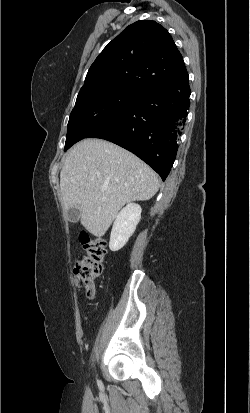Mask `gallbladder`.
<instances>
[{
	"label": "gallbladder",
	"mask_w": 250,
	"mask_h": 413,
	"mask_svg": "<svg viewBox=\"0 0 250 413\" xmlns=\"http://www.w3.org/2000/svg\"><path fill=\"white\" fill-rule=\"evenodd\" d=\"M66 214H67L68 220H69L70 222H73V223L77 222V221L79 220V218H80V210L77 209V208H75V207L70 208V209L67 211Z\"/></svg>",
	"instance_id": "bac80fb5"
}]
</instances>
